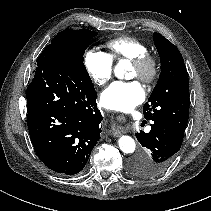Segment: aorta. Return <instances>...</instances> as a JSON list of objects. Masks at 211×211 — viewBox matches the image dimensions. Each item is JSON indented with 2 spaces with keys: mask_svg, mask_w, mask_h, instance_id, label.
Listing matches in <instances>:
<instances>
[{
  "mask_svg": "<svg viewBox=\"0 0 211 211\" xmlns=\"http://www.w3.org/2000/svg\"><path fill=\"white\" fill-rule=\"evenodd\" d=\"M123 67L124 66H123L122 62H119L115 66L114 73H115L116 77H118V78L122 77ZM118 145H119L120 150L126 154L133 153L136 148L133 138H131L130 136H127V135H123L119 138Z\"/></svg>",
  "mask_w": 211,
  "mask_h": 211,
  "instance_id": "aorta-1",
  "label": "aorta"
}]
</instances>
